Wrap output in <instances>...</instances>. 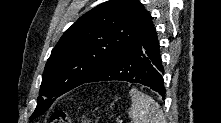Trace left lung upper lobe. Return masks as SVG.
<instances>
[{"instance_id": "obj_1", "label": "left lung upper lobe", "mask_w": 221, "mask_h": 123, "mask_svg": "<svg viewBox=\"0 0 221 123\" xmlns=\"http://www.w3.org/2000/svg\"><path fill=\"white\" fill-rule=\"evenodd\" d=\"M152 24L138 0H109L84 14L53 48L31 119L48 110L55 97L84 84Z\"/></svg>"}]
</instances>
